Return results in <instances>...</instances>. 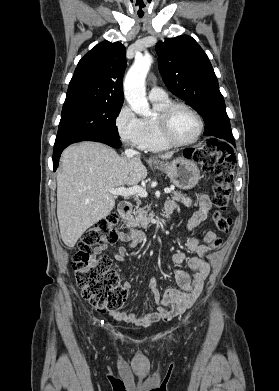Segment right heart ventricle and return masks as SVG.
Instances as JSON below:
<instances>
[{"mask_svg":"<svg viewBox=\"0 0 279 391\" xmlns=\"http://www.w3.org/2000/svg\"><path fill=\"white\" fill-rule=\"evenodd\" d=\"M155 111L159 114L166 106H168L171 101L166 98L164 100H154L152 101ZM143 123V139L141 149L151 152H159L168 150L171 148L167 144L160 132L157 116L152 118H144Z\"/></svg>","mask_w":279,"mask_h":391,"instance_id":"e07e8e85","label":"right heart ventricle"}]
</instances>
